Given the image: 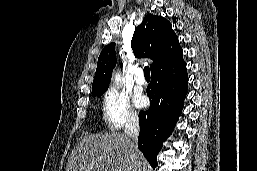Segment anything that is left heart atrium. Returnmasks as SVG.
<instances>
[{
    "mask_svg": "<svg viewBox=\"0 0 257 171\" xmlns=\"http://www.w3.org/2000/svg\"><path fill=\"white\" fill-rule=\"evenodd\" d=\"M135 104L138 106V107H144L146 105V98L143 97V96H137L135 98Z\"/></svg>",
    "mask_w": 257,
    "mask_h": 171,
    "instance_id": "39dd6f15",
    "label": "left heart atrium"
}]
</instances>
